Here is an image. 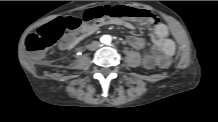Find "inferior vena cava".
<instances>
[{"instance_id":"inferior-vena-cava-1","label":"inferior vena cava","mask_w":218,"mask_h":122,"mask_svg":"<svg viewBox=\"0 0 218 122\" xmlns=\"http://www.w3.org/2000/svg\"><path fill=\"white\" fill-rule=\"evenodd\" d=\"M99 46H100L99 42H93V43L91 44V48H92V49L98 48Z\"/></svg>"}]
</instances>
